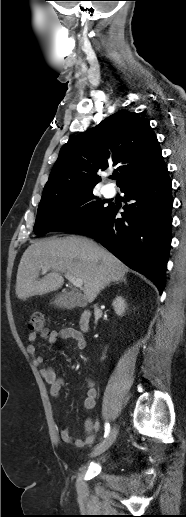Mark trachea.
<instances>
[{"mask_svg":"<svg viewBox=\"0 0 186 517\" xmlns=\"http://www.w3.org/2000/svg\"><path fill=\"white\" fill-rule=\"evenodd\" d=\"M118 176H119V173H113L111 178L116 180V179H118Z\"/></svg>","mask_w":186,"mask_h":517,"instance_id":"1","label":"trachea"}]
</instances>
